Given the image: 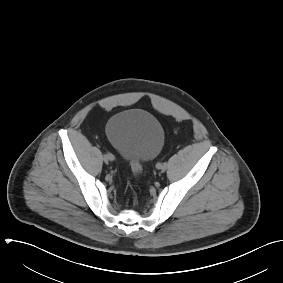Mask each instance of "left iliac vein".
Listing matches in <instances>:
<instances>
[{
    "mask_svg": "<svg viewBox=\"0 0 283 283\" xmlns=\"http://www.w3.org/2000/svg\"><path fill=\"white\" fill-rule=\"evenodd\" d=\"M159 170H161L162 172H164L167 168V166L165 164H161L157 167Z\"/></svg>",
    "mask_w": 283,
    "mask_h": 283,
    "instance_id": "4c4485c4",
    "label": "left iliac vein"
}]
</instances>
